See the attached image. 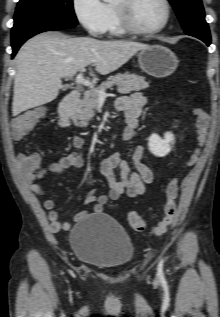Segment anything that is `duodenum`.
Masks as SVG:
<instances>
[{
	"label": "duodenum",
	"mask_w": 220,
	"mask_h": 317,
	"mask_svg": "<svg viewBox=\"0 0 220 317\" xmlns=\"http://www.w3.org/2000/svg\"><path fill=\"white\" fill-rule=\"evenodd\" d=\"M81 98L80 90H72L61 101L58 109V124L62 128H68L72 125V117L77 109Z\"/></svg>",
	"instance_id": "1"
}]
</instances>
